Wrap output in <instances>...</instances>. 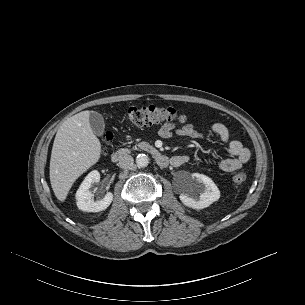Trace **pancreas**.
<instances>
[{
  "label": "pancreas",
  "mask_w": 305,
  "mask_h": 305,
  "mask_svg": "<svg viewBox=\"0 0 305 305\" xmlns=\"http://www.w3.org/2000/svg\"><path fill=\"white\" fill-rule=\"evenodd\" d=\"M134 147H135V149H137V148L144 149V150L152 149V146L147 142H140V143L136 144Z\"/></svg>",
  "instance_id": "pancreas-1"
}]
</instances>
